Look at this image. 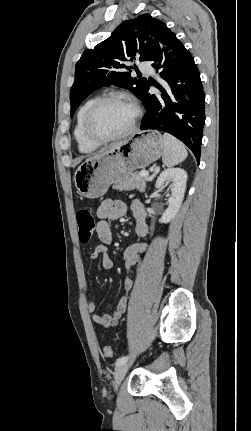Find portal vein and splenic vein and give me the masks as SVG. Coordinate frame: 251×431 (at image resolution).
<instances>
[{
    "instance_id": "1",
    "label": "portal vein and splenic vein",
    "mask_w": 251,
    "mask_h": 431,
    "mask_svg": "<svg viewBox=\"0 0 251 431\" xmlns=\"http://www.w3.org/2000/svg\"><path fill=\"white\" fill-rule=\"evenodd\" d=\"M140 175L147 178L149 176V173L143 171V172H140Z\"/></svg>"
}]
</instances>
